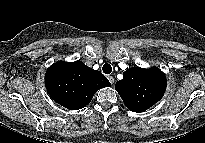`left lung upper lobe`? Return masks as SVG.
Returning <instances> with one entry per match:
<instances>
[{"label": "left lung upper lobe", "instance_id": "obj_1", "mask_svg": "<svg viewBox=\"0 0 205 143\" xmlns=\"http://www.w3.org/2000/svg\"><path fill=\"white\" fill-rule=\"evenodd\" d=\"M115 89L129 110L143 112L162 98L166 77L157 67H132L123 73L122 80L116 82Z\"/></svg>", "mask_w": 205, "mask_h": 143}]
</instances>
